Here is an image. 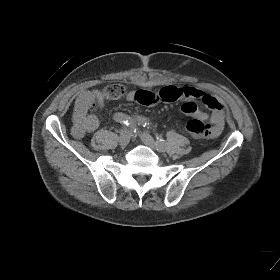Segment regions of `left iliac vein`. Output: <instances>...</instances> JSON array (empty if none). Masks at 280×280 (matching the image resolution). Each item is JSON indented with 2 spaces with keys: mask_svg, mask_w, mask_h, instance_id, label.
<instances>
[{
  "mask_svg": "<svg viewBox=\"0 0 280 280\" xmlns=\"http://www.w3.org/2000/svg\"><path fill=\"white\" fill-rule=\"evenodd\" d=\"M140 138L146 146L150 147L153 150H157L159 152H163L165 150V149L158 148L153 137L150 134H148L147 132H141Z\"/></svg>",
  "mask_w": 280,
  "mask_h": 280,
  "instance_id": "obj_1",
  "label": "left iliac vein"
}]
</instances>
